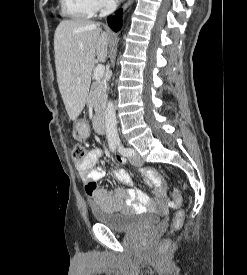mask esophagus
<instances>
[{
    "mask_svg": "<svg viewBox=\"0 0 247 275\" xmlns=\"http://www.w3.org/2000/svg\"><path fill=\"white\" fill-rule=\"evenodd\" d=\"M134 0H128L127 3L124 5V9H126L127 7H129Z\"/></svg>",
    "mask_w": 247,
    "mask_h": 275,
    "instance_id": "obj_1",
    "label": "esophagus"
}]
</instances>
